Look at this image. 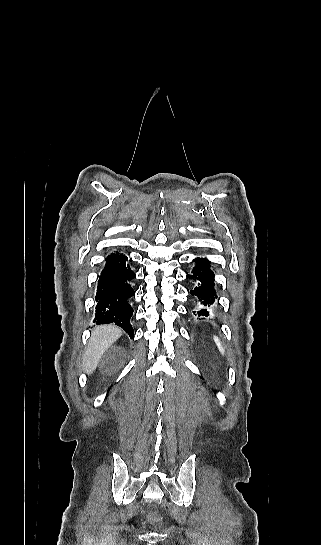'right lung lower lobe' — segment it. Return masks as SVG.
I'll use <instances>...</instances> for the list:
<instances>
[{
    "label": "right lung lower lobe",
    "mask_w": 321,
    "mask_h": 545,
    "mask_svg": "<svg viewBox=\"0 0 321 545\" xmlns=\"http://www.w3.org/2000/svg\"><path fill=\"white\" fill-rule=\"evenodd\" d=\"M126 261L127 256L119 252L107 257L106 266L99 276L94 322L96 324L115 322L133 338L134 332L130 324L133 308L128 299L134 296L135 292L128 281L135 278V273L129 264L126 266Z\"/></svg>",
    "instance_id": "obj_1"
}]
</instances>
